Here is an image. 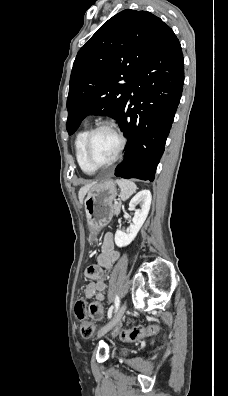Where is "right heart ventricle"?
<instances>
[{
  "label": "right heart ventricle",
  "instance_id": "right-heart-ventricle-1",
  "mask_svg": "<svg viewBox=\"0 0 228 396\" xmlns=\"http://www.w3.org/2000/svg\"><path fill=\"white\" fill-rule=\"evenodd\" d=\"M90 129L86 126L82 130H80L74 139V150H75V156L76 160L78 162V165L80 169L86 173V174H91L94 172L93 169H91L85 162L84 155H83V147L85 143V139L89 133Z\"/></svg>",
  "mask_w": 228,
  "mask_h": 396
}]
</instances>
